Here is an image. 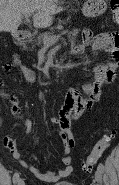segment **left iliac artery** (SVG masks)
<instances>
[{
    "instance_id": "44dca946",
    "label": "left iliac artery",
    "mask_w": 119,
    "mask_h": 185,
    "mask_svg": "<svg viewBox=\"0 0 119 185\" xmlns=\"http://www.w3.org/2000/svg\"><path fill=\"white\" fill-rule=\"evenodd\" d=\"M98 169L103 172L104 171V165L102 163H99Z\"/></svg>"
}]
</instances>
